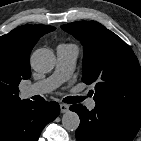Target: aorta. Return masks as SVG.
<instances>
[{"mask_svg":"<svg viewBox=\"0 0 141 141\" xmlns=\"http://www.w3.org/2000/svg\"><path fill=\"white\" fill-rule=\"evenodd\" d=\"M32 68L40 73L50 72L55 65V57L52 51L45 48L35 50L30 58ZM80 124V118L77 113L67 111L63 114L62 125L68 131H75Z\"/></svg>","mask_w":141,"mask_h":141,"instance_id":"obj_1","label":"aorta"}]
</instances>
